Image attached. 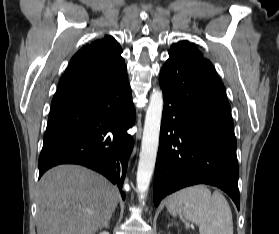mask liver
<instances>
[{
  "label": "liver",
  "mask_w": 279,
  "mask_h": 234,
  "mask_svg": "<svg viewBox=\"0 0 279 234\" xmlns=\"http://www.w3.org/2000/svg\"><path fill=\"white\" fill-rule=\"evenodd\" d=\"M119 198L102 175L77 165L54 167L39 182L37 234H95Z\"/></svg>",
  "instance_id": "1"
}]
</instances>
